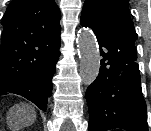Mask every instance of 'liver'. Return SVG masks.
Segmentation results:
<instances>
[{"mask_svg":"<svg viewBox=\"0 0 151 131\" xmlns=\"http://www.w3.org/2000/svg\"><path fill=\"white\" fill-rule=\"evenodd\" d=\"M35 119H36L35 110L33 108H30L28 111V118H27L26 124L33 123L35 121Z\"/></svg>","mask_w":151,"mask_h":131,"instance_id":"1","label":"liver"}]
</instances>
